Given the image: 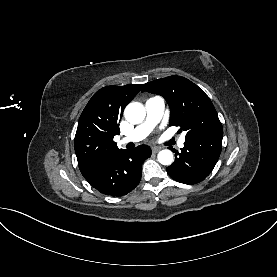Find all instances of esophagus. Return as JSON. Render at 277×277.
<instances>
[{
    "label": "esophagus",
    "instance_id": "1",
    "mask_svg": "<svg viewBox=\"0 0 277 277\" xmlns=\"http://www.w3.org/2000/svg\"><path fill=\"white\" fill-rule=\"evenodd\" d=\"M160 149H161L160 147H152V152L157 153L160 151Z\"/></svg>",
    "mask_w": 277,
    "mask_h": 277
}]
</instances>
